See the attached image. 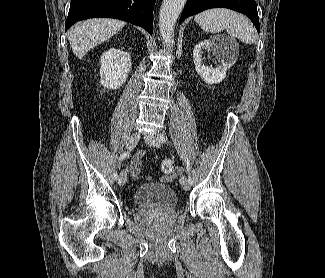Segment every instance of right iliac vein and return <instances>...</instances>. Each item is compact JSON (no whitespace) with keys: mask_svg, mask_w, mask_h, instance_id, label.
Returning <instances> with one entry per match:
<instances>
[{"mask_svg":"<svg viewBox=\"0 0 325 278\" xmlns=\"http://www.w3.org/2000/svg\"><path fill=\"white\" fill-rule=\"evenodd\" d=\"M140 139V134L138 132L133 133L126 142V149L132 150L138 143ZM127 182V174L126 172L122 171L119 175L118 183L120 186L125 185Z\"/></svg>","mask_w":325,"mask_h":278,"instance_id":"obj_1","label":"right iliac vein"}]
</instances>
